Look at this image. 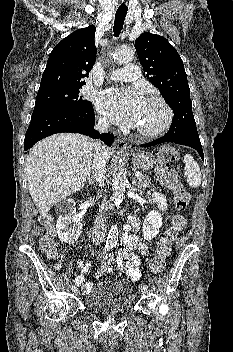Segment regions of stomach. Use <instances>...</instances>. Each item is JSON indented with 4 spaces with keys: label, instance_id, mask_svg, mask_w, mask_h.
Here are the masks:
<instances>
[{
    "label": "stomach",
    "instance_id": "stomach-1",
    "mask_svg": "<svg viewBox=\"0 0 233 352\" xmlns=\"http://www.w3.org/2000/svg\"><path fill=\"white\" fill-rule=\"evenodd\" d=\"M157 161L158 160L151 153L144 151L132 153V163L140 170H149L153 168Z\"/></svg>",
    "mask_w": 233,
    "mask_h": 352
}]
</instances>
